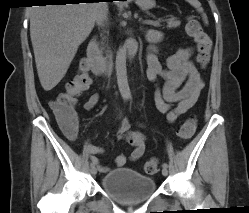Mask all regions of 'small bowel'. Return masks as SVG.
<instances>
[{
  "label": "small bowel",
  "instance_id": "1",
  "mask_svg": "<svg viewBox=\"0 0 249 213\" xmlns=\"http://www.w3.org/2000/svg\"><path fill=\"white\" fill-rule=\"evenodd\" d=\"M149 41V51L147 54L146 75L148 79L155 83V104L157 109L167 115L169 123H174L180 115L185 114L198 100L200 92L204 86L202 76L191 60L192 48H181L171 55L164 66L158 59V45L162 40L159 32L151 30L147 34ZM85 63V62H84ZM160 80L163 83H160ZM99 101V94H92L84 103L86 110H92ZM65 134L69 138H75L78 129L77 119L69 127L61 124ZM117 136L119 139L127 141L133 146L129 159L139 160L145 152L146 137L140 131L131 130V121L123 119L118 127ZM88 150L91 159L97 161V155L103 152L100 146L90 144ZM127 158L118 155L115 159L117 166L125 165ZM101 172H107L108 168L98 164Z\"/></svg>",
  "mask_w": 249,
  "mask_h": 213
}]
</instances>
